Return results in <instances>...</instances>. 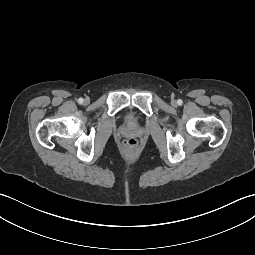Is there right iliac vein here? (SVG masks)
I'll return each instance as SVG.
<instances>
[{"label": "right iliac vein", "instance_id": "63e3f726", "mask_svg": "<svg viewBox=\"0 0 255 255\" xmlns=\"http://www.w3.org/2000/svg\"><path fill=\"white\" fill-rule=\"evenodd\" d=\"M84 103H88V100L86 99V100L84 101Z\"/></svg>", "mask_w": 255, "mask_h": 255}]
</instances>
